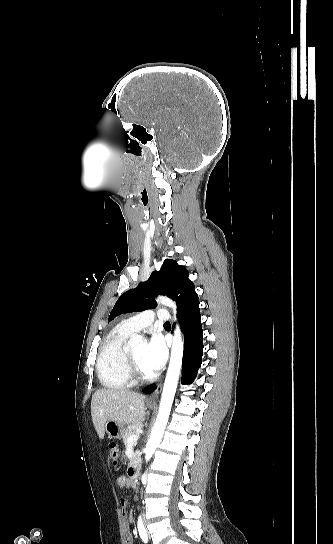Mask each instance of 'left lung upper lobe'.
<instances>
[{
    "instance_id": "left-lung-upper-lobe-1",
    "label": "left lung upper lobe",
    "mask_w": 333,
    "mask_h": 544,
    "mask_svg": "<svg viewBox=\"0 0 333 544\" xmlns=\"http://www.w3.org/2000/svg\"><path fill=\"white\" fill-rule=\"evenodd\" d=\"M166 295L174 300L178 309L199 301L195 285L189 279L188 270L173 259L164 260L159 271H153L149 279L141 282L120 296L108 321L123 313L144 311L156 307L154 297Z\"/></svg>"
}]
</instances>
